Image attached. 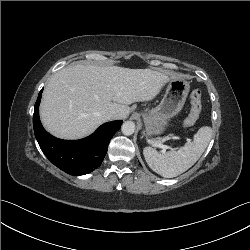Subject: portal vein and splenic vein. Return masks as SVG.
<instances>
[{
  "label": "portal vein and splenic vein",
  "mask_w": 250,
  "mask_h": 250,
  "mask_svg": "<svg viewBox=\"0 0 250 250\" xmlns=\"http://www.w3.org/2000/svg\"><path fill=\"white\" fill-rule=\"evenodd\" d=\"M172 138H173V139H177V140L181 139V138L178 137V136H173ZM187 141L190 142V139H187ZM155 146H156V147H159V148H162V149H163V150H162L163 152H165L166 149H171V147L166 146V145H162V143H156Z\"/></svg>",
  "instance_id": "obj_1"
}]
</instances>
